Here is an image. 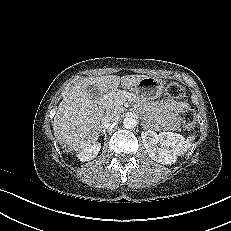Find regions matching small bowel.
Here are the masks:
<instances>
[{"mask_svg": "<svg viewBox=\"0 0 231 231\" xmlns=\"http://www.w3.org/2000/svg\"><path fill=\"white\" fill-rule=\"evenodd\" d=\"M153 109L158 116L160 125L167 129H173L177 126L178 116L189 109V106L185 102L165 100L154 104Z\"/></svg>", "mask_w": 231, "mask_h": 231, "instance_id": "small-bowel-1", "label": "small bowel"}]
</instances>
